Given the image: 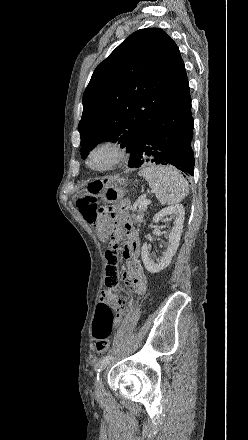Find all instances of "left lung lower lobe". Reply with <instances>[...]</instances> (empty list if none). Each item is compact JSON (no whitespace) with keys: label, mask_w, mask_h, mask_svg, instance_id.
I'll use <instances>...</instances> for the list:
<instances>
[{"label":"left lung lower lobe","mask_w":248,"mask_h":440,"mask_svg":"<svg viewBox=\"0 0 248 440\" xmlns=\"http://www.w3.org/2000/svg\"><path fill=\"white\" fill-rule=\"evenodd\" d=\"M192 137L193 118L188 87L147 125L130 152L128 166L138 168L146 162H153L173 165L184 173V177L193 175Z\"/></svg>","instance_id":"left-lung-lower-lobe-1"}]
</instances>
